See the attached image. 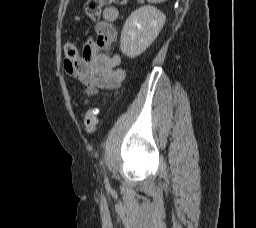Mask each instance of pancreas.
Masks as SVG:
<instances>
[{
  "mask_svg": "<svg viewBox=\"0 0 256 228\" xmlns=\"http://www.w3.org/2000/svg\"><path fill=\"white\" fill-rule=\"evenodd\" d=\"M138 2H139V3H143V2H144V0H138Z\"/></svg>",
  "mask_w": 256,
  "mask_h": 228,
  "instance_id": "cf45deb5",
  "label": "pancreas"
}]
</instances>
